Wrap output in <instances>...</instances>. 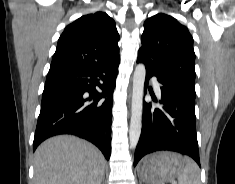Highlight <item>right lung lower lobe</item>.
<instances>
[{
    "label": "right lung lower lobe",
    "instance_id": "obj_1",
    "mask_svg": "<svg viewBox=\"0 0 235 184\" xmlns=\"http://www.w3.org/2000/svg\"><path fill=\"white\" fill-rule=\"evenodd\" d=\"M118 64L96 70H49L42 95L33 151L45 139L72 134L95 144L108 160L111 153L112 93ZM103 84L100 85L99 81ZM99 86L102 93L95 87ZM89 97H86V93ZM107 97L104 102L101 98ZM93 100L92 102H90Z\"/></svg>",
    "mask_w": 235,
    "mask_h": 184
}]
</instances>
